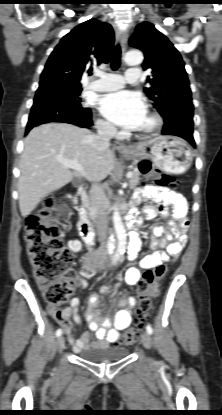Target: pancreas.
Returning a JSON list of instances; mask_svg holds the SVG:
<instances>
[{"label": "pancreas", "mask_w": 222, "mask_h": 415, "mask_svg": "<svg viewBox=\"0 0 222 415\" xmlns=\"http://www.w3.org/2000/svg\"><path fill=\"white\" fill-rule=\"evenodd\" d=\"M132 173V177L129 180L130 189H134L139 184L141 175L139 170H134Z\"/></svg>", "instance_id": "1"}]
</instances>
